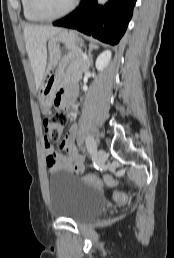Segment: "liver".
<instances>
[{
	"mask_svg": "<svg viewBox=\"0 0 174 258\" xmlns=\"http://www.w3.org/2000/svg\"><path fill=\"white\" fill-rule=\"evenodd\" d=\"M61 30V28L48 25H27L24 27L26 50L34 73L36 90L41 85L47 64V40Z\"/></svg>",
	"mask_w": 174,
	"mask_h": 258,
	"instance_id": "obj_1",
	"label": "liver"
}]
</instances>
